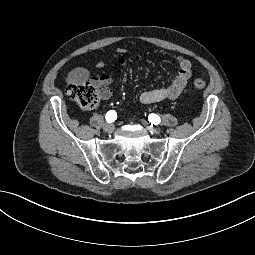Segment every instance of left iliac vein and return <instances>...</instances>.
<instances>
[{"label":"left iliac vein","mask_w":255,"mask_h":255,"mask_svg":"<svg viewBox=\"0 0 255 255\" xmlns=\"http://www.w3.org/2000/svg\"><path fill=\"white\" fill-rule=\"evenodd\" d=\"M142 124L151 133L159 134L161 132V128L160 127L151 125L149 122H147L145 120H142Z\"/></svg>","instance_id":"left-iliac-vein-1"}]
</instances>
